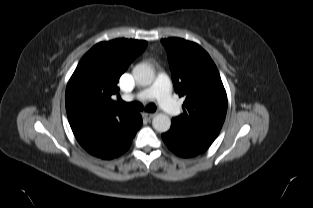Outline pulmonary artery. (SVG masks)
I'll return each mask as SVG.
<instances>
[{
  "mask_svg": "<svg viewBox=\"0 0 313 208\" xmlns=\"http://www.w3.org/2000/svg\"><path fill=\"white\" fill-rule=\"evenodd\" d=\"M153 98L158 100L159 105L168 115L175 116L179 113V105L172 98L170 81L166 75H159L151 87L126 97L127 100L140 102Z\"/></svg>",
  "mask_w": 313,
  "mask_h": 208,
  "instance_id": "obj_1",
  "label": "pulmonary artery"
}]
</instances>
